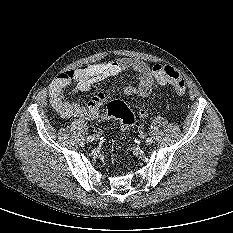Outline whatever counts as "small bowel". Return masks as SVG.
I'll list each match as a JSON object with an SVG mask.
<instances>
[{
  "label": "small bowel",
  "mask_w": 233,
  "mask_h": 233,
  "mask_svg": "<svg viewBox=\"0 0 233 233\" xmlns=\"http://www.w3.org/2000/svg\"><path fill=\"white\" fill-rule=\"evenodd\" d=\"M128 70L136 74L138 84L126 85L122 88V91L126 95H138L141 98L149 97L155 83L153 68L138 60L119 58L112 61L84 65L62 74L50 88L51 105L65 119L79 118L90 120L97 118L99 116V106L105 101L107 96L121 89L117 84L112 83L107 90L99 92L89 101L87 106L65 99L66 88L70 83H74L75 87L73 90L75 92L86 91L94 85Z\"/></svg>",
  "instance_id": "1"
}]
</instances>
